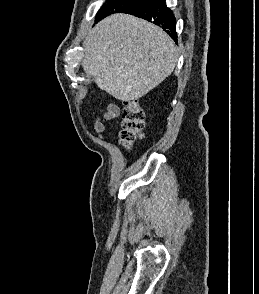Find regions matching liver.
I'll use <instances>...</instances> for the list:
<instances>
[{"mask_svg": "<svg viewBox=\"0 0 259 294\" xmlns=\"http://www.w3.org/2000/svg\"><path fill=\"white\" fill-rule=\"evenodd\" d=\"M82 67L121 101L138 100L174 70V41L158 26L128 14L101 20L84 41Z\"/></svg>", "mask_w": 259, "mask_h": 294, "instance_id": "6515ba94", "label": "liver"}]
</instances>
